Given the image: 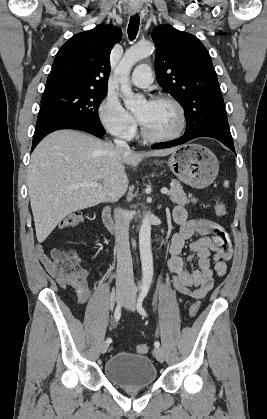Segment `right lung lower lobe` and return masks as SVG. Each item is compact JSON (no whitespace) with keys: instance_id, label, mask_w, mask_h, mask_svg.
<instances>
[{"instance_id":"1","label":"right lung lower lobe","mask_w":267,"mask_h":419,"mask_svg":"<svg viewBox=\"0 0 267 419\" xmlns=\"http://www.w3.org/2000/svg\"><path fill=\"white\" fill-rule=\"evenodd\" d=\"M60 129L80 130L97 137H102L105 134V129L101 124L84 122L58 109L41 106L31 151L46 135Z\"/></svg>"}]
</instances>
